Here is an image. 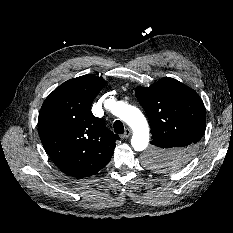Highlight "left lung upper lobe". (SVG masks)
Wrapping results in <instances>:
<instances>
[{
    "label": "left lung upper lobe",
    "instance_id": "5c2ea615",
    "mask_svg": "<svg viewBox=\"0 0 233 233\" xmlns=\"http://www.w3.org/2000/svg\"><path fill=\"white\" fill-rule=\"evenodd\" d=\"M136 96L150 122L153 145L145 155V163L152 169L172 172L182 168L197 150L206 126V112L202 99L191 88L173 78H162L153 86L136 89ZM179 137L187 147L178 152L156 144V139ZM186 161L174 164L170 159L180 153Z\"/></svg>",
    "mask_w": 233,
    "mask_h": 233
}]
</instances>
